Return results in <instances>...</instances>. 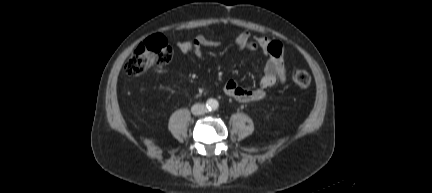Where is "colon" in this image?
<instances>
[{
	"label": "colon",
	"mask_w": 432,
	"mask_h": 193,
	"mask_svg": "<svg viewBox=\"0 0 432 193\" xmlns=\"http://www.w3.org/2000/svg\"><path fill=\"white\" fill-rule=\"evenodd\" d=\"M173 56L172 47L161 35H154L141 43L132 53L124 68L127 74L137 76L147 70L167 64ZM292 80L299 88H308L310 74L302 69L292 72Z\"/></svg>",
	"instance_id": "obj_1"
}]
</instances>
